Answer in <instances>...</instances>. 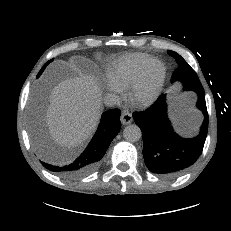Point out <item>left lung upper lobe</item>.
Returning <instances> with one entry per match:
<instances>
[{
    "instance_id": "left-lung-upper-lobe-1",
    "label": "left lung upper lobe",
    "mask_w": 231,
    "mask_h": 231,
    "mask_svg": "<svg viewBox=\"0 0 231 231\" xmlns=\"http://www.w3.org/2000/svg\"><path fill=\"white\" fill-rule=\"evenodd\" d=\"M168 54L176 59L178 63L177 69L173 72L171 81H180L184 86L201 84L195 71L189 64L174 51L168 50Z\"/></svg>"
}]
</instances>
